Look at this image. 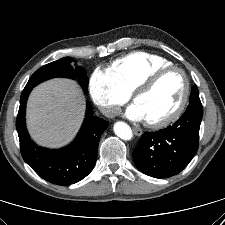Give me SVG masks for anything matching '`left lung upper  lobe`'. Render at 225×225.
<instances>
[{
  "label": "left lung upper lobe",
  "instance_id": "left-lung-upper-lobe-1",
  "mask_svg": "<svg viewBox=\"0 0 225 225\" xmlns=\"http://www.w3.org/2000/svg\"><path fill=\"white\" fill-rule=\"evenodd\" d=\"M200 101L199 92L196 86L192 87L189 103Z\"/></svg>",
  "mask_w": 225,
  "mask_h": 225
}]
</instances>
